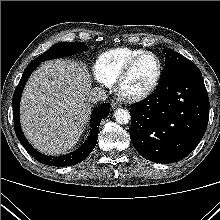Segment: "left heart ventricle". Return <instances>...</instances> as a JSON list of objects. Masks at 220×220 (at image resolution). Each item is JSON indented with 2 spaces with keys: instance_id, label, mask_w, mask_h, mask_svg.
<instances>
[{
  "instance_id": "obj_1",
  "label": "left heart ventricle",
  "mask_w": 220,
  "mask_h": 220,
  "mask_svg": "<svg viewBox=\"0 0 220 220\" xmlns=\"http://www.w3.org/2000/svg\"><path fill=\"white\" fill-rule=\"evenodd\" d=\"M157 68V61L153 56L142 57L124 83L123 90L126 93H139L145 90L153 82Z\"/></svg>"
}]
</instances>
